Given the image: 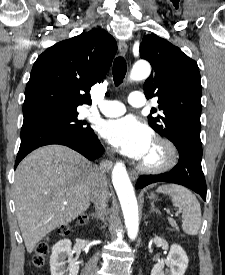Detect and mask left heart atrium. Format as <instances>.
Segmentation results:
<instances>
[{
    "instance_id": "left-heart-atrium-1",
    "label": "left heart atrium",
    "mask_w": 225,
    "mask_h": 275,
    "mask_svg": "<svg viewBox=\"0 0 225 275\" xmlns=\"http://www.w3.org/2000/svg\"><path fill=\"white\" fill-rule=\"evenodd\" d=\"M101 134L109 143L134 159H143L153 144L151 130L131 115L106 121Z\"/></svg>"
}]
</instances>
